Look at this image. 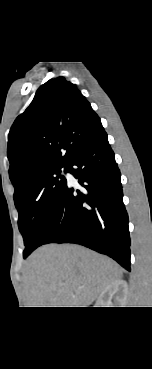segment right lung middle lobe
Here are the masks:
<instances>
[{"label":"right lung middle lobe","instance_id":"obj_1","mask_svg":"<svg viewBox=\"0 0 152 369\" xmlns=\"http://www.w3.org/2000/svg\"><path fill=\"white\" fill-rule=\"evenodd\" d=\"M67 167L65 164L45 170L36 175L20 194L14 196L19 213L18 226L24 238V258L42 244L49 230L67 185L61 169L67 172Z\"/></svg>","mask_w":152,"mask_h":369}]
</instances>
